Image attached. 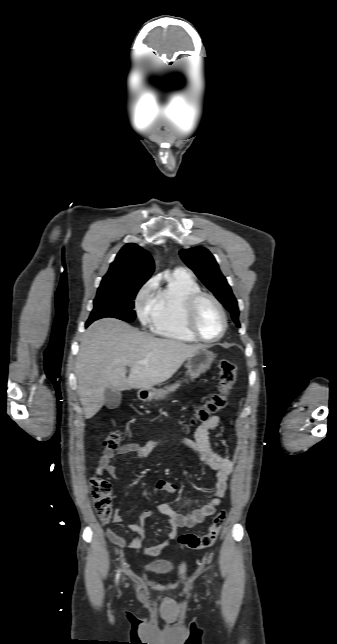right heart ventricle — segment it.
Returning <instances> with one entry per match:
<instances>
[{
	"instance_id": "1",
	"label": "right heart ventricle",
	"mask_w": 337,
	"mask_h": 644,
	"mask_svg": "<svg viewBox=\"0 0 337 644\" xmlns=\"http://www.w3.org/2000/svg\"><path fill=\"white\" fill-rule=\"evenodd\" d=\"M200 290L199 283L190 273L178 269L170 274L165 286L155 297L154 313L150 320L152 331L179 342H197L186 326L185 308L190 296Z\"/></svg>"
}]
</instances>
